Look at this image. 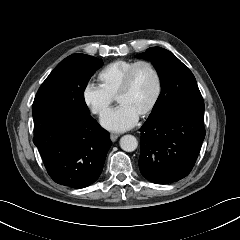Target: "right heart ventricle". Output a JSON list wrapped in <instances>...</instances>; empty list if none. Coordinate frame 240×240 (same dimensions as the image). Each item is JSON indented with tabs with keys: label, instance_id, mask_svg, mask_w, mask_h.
I'll return each instance as SVG.
<instances>
[{
	"label": "right heart ventricle",
	"instance_id": "e07e8e85",
	"mask_svg": "<svg viewBox=\"0 0 240 240\" xmlns=\"http://www.w3.org/2000/svg\"><path fill=\"white\" fill-rule=\"evenodd\" d=\"M133 60L119 59L106 65L98 74L100 86L111 97L116 98L121 88L124 76Z\"/></svg>",
	"mask_w": 240,
	"mask_h": 240
}]
</instances>
